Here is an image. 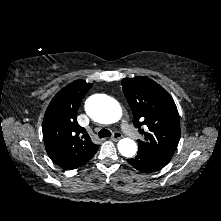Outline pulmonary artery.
<instances>
[{
  "label": "pulmonary artery",
  "mask_w": 221,
  "mask_h": 221,
  "mask_svg": "<svg viewBox=\"0 0 221 221\" xmlns=\"http://www.w3.org/2000/svg\"><path fill=\"white\" fill-rule=\"evenodd\" d=\"M124 132L126 133V135L132 137V138H138L139 134L136 131L131 132L130 129L128 128L127 125L123 126Z\"/></svg>",
  "instance_id": "1"
}]
</instances>
